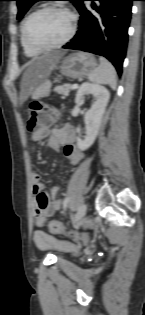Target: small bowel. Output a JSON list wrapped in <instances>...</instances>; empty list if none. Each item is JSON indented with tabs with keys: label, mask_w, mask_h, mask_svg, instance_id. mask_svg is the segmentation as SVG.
I'll return each mask as SVG.
<instances>
[{
	"label": "small bowel",
	"mask_w": 145,
	"mask_h": 315,
	"mask_svg": "<svg viewBox=\"0 0 145 315\" xmlns=\"http://www.w3.org/2000/svg\"><path fill=\"white\" fill-rule=\"evenodd\" d=\"M48 138L49 146L54 150L63 149L65 156L73 165H78L82 160V153L77 149L74 141L75 134L71 125H65L53 130L41 129L33 133L32 140L28 141L29 147H38L39 141ZM32 192L36 195V205L34 209L36 225L42 227L48 218L61 209L62 202L57 199L59 188L51 187L46 194L43 192L40 174L36 171L31 173ZM35 245L41 249L60 248L64 250H75L76 244L70 241H63L57 237L38 229L33 233Z\"/></svg>",
	"instance_id": "obj_1"
}]
</instances>
